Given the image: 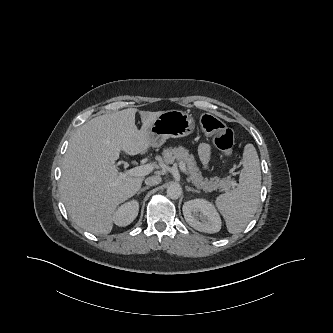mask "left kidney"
I'll return each mask as SVG.
<instances>
[{
  "mask_svg": "<svg viewBox=\"0 0 333 333\" xmlns=\"http://www.w3.org/2000/svg\"><path fill=\"white\" fill-rule=\"evenodd\" d=\"M183 215L194 229L205 233H216L221 229V218L213 204L205 199H194L184 203Z\"/></svg>",
  "mask_w": 333,
  "mask_h": 333,
  "instance_id": "left-kidney-1",
  "label": "left kidney"
}]
</instances>
